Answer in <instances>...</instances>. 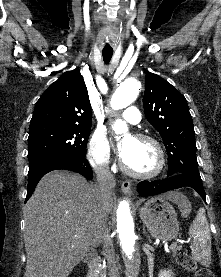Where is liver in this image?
<instances>
[{
  "instance_id": "obj_1",
  "label": "liver",
  "mask_w": 221,
  "mask_h": 277,
  "mask_svg": "<svg viewBox=\"0 0 221 277\" xmlns=\"http://www.w3.org/2000/svg\"><path fill=\"white\" fill-rule=\"evenodd\" d=\"M164 198L177 204L186 200L175 192ZM113 207L112 194L103 211L97 185L79 174L65 170L46 174L24 210V277H68L102 241V225H107Z\"/></svg>"
}]
</instances>
